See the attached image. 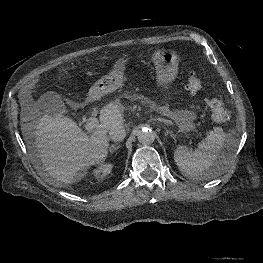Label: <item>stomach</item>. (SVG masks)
<instances>
[{
	"instance_id": "obj_1",
	"label": "stomach",
	"mask_w": 263,
	"mask_h": 263,
	"mask_svg": "<svg viewBox=\"0 0 263 263\" xmlns=\"http://www.w3.org/2000/svg\"><path fill=\"white\" fill-rule=\"evenodd\" d=\"M153 63L156 69L157 81L160 85L172 83L178 73L179 58L177 53L171 49L157 50L153 55ZM128 59L122 57L118 59L113 70L99 79L89 91L91 99H98L101 96L113 92L122 86L124 81V72ZM158 111L172 120H174L182 131L193 130L194 114L190 111H171L168 105L157 107Z\"/></svg>"
}]
</instances>
